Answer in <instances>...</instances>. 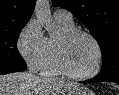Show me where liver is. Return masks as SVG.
<instances>
[{"label": "liver", "instance_id": "1", "mask_svg": "<svg viewBox=\"0 0 119 95\" xmlns=\"http://www.w3.org/2000/svg\"><path fill=\"white\" fill-rule=\"evenodd\" d=\"M77 87L73 83L27 72L0 75V95H65Z\"/></svg>", "mask_w": 119, "mask_h": 95}]
</instances>
